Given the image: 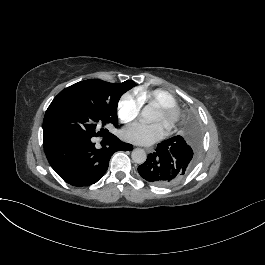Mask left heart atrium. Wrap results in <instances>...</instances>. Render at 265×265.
<instances>
[{"mask_svg": "<svg viewBox=\"0 0 265 265\" xmlns=\"http://www.w3.org/2000/svg\"><path fill=\"white\" fill-rule=\"evenodd\" d=\"M167 134V129L162 122L151 125L135 123L123 130L122 137L134 144L149 145L166 137Z\"/></svg>", "mask_w": 265, "mask_h": 265, "instance_id": "obj_1", "label": "left heart atrium"}]
</instances>
